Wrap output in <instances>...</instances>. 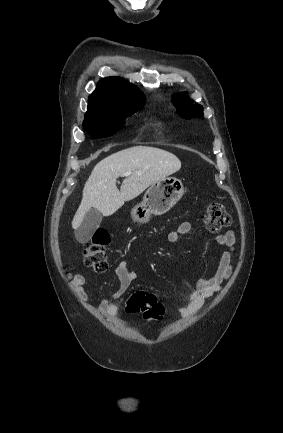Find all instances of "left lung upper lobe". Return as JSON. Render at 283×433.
I'll list each match as a JSON object with an SVG mask.
<instances>
[{"label": "left lung upper lobe", "instance_id": "5c2ea615", "mask_svg": "<svg viewBox=\"0 0 283 433\" xmlns=\"http://www.w3.org/2000/svg\"><path fill=\"white\" fill-rule=\"evenodd\" d=\"M174 104L177 112L184 118H192L203 116V108L201 105H191L192 100L187 97V93H179L175 96Z\"/></svg>", "mask_w": 283, "mask_h": 433}]
</instances>
